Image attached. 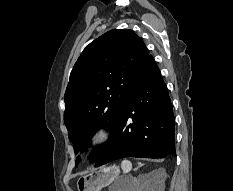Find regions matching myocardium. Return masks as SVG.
Instances as JSON below:
<instances>
[{"instance_id":"obj_1","label":"myocardium","mask_w":233,"mask_h":191,"mask_svg":"<svg viewBox=\"0 0 233 191\" xmlns=\"http://www.w3.org/2000/svg\"><path fill=\"white\" fill-rule=\"evenodd\" d=\"M112 131L106 125H100L94 128L88 138V145L92 151H96L103 147L111 138Z\"/></svg>"}]
</instances>
